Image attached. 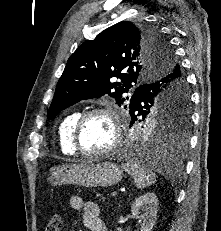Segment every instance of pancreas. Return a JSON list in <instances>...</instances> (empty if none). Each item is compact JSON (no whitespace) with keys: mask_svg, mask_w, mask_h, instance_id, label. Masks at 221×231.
Returning a JSON list of instances; mask_svg holds the SVG:
<instances>
[{"mask_svg":"<svg viewBox=\"0 0 221 231\" xmlns=\"http://www.w3.org/2000/svg\"><path fill=\"white\" fill-rule=\"evenodd\" d=\"M97 197H100L101 199H105V197L102 196V194H97Z\"/></svg>","mask_w":221,"mask_h":231,"instance_id":"cf45deb5","label":"pancreas"}]
</instances>
